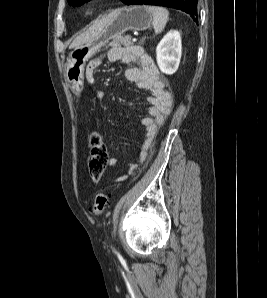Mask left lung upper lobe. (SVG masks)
I'll list each match as a JSON object with an SVG mask.
<instances>
[{
  "label": "left lung upper lobe",
  "mask_w": 267,
  "mask_h": 298,
  "mask_svg": "<svg viewBox=\"0 0 267 298\" xmlns=\"http://www.w3.org/2000/svg\"><path fill=\"white\" fill-rule=\"evenodd\" d=\"M68 3L70 5H73V6H80L82 5L83 3L89 1V0H67ZM122 2H126L127 0H121Z\"/></svg>",
  "instance_id": "left-lung-upper-lobe-1"
}]
</instances>
